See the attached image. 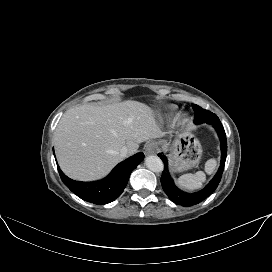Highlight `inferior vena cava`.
Segmentation results:
<instances>
[{
    "instance_id": "inferior-vena-cava-1",
    "label": "inferior vena cava",
    "mask_w": 272,
    "mask_h": 272,
    "mask_svg": "<svg viewBox=\"0 0 272 272\" xmlns=\"http://www.w3.org/2000/svg\"><path fill=\"white\" fill-rule=\"evenodd\" d=\"M119 154L122 158L126 157L129 154V150L126 146L122 147L119 151Z\"/></svg>"
}]
</instances>
